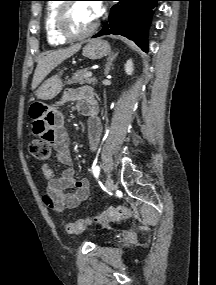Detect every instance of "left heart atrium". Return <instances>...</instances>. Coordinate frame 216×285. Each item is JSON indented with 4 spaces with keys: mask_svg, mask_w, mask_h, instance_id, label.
Masks as SVG:
<instances>
[{
    "mask_svg": "<svg viewBox=\"0 0 216 285\" xmlns=\"http://www.w3.org/2000/svg\"><path fill=\"white\" fill-rule=\"evenodd\" d=\"M90 5L96 18H98L103 13V5L99 1L92 2Z\"/></svg>",
    "mask_w": 216,
    "mask_h": 285,
    "instance_id": "obj_1",
    "label": "left heart atrium"
}]
</instances>
